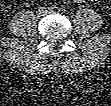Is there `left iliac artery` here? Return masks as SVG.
Masks as SVG:
<instances>
[{
	"label": "left iliac artery",
	"instance_id": "44dca946",
	"mask_svg": "<svg viewBox=\"0 0 111 106\" xmlns=\"http://www.w3.org/2000/svg\"><path fill=\"white\" fill-rule=\"evenodd\" d=\"M59 10H60L61 12H65V11H66V7H65V6H61V7L59 8Z\"/></svg>",
	"mask_w": 111,
	"mask_h": 106
}]
</instances>
